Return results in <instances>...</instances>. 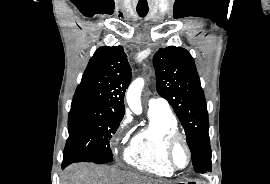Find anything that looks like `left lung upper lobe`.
I'll return each instance as SVG.
<instances>
[{
    "instance_id": "5c2ea615",
    "label": "left lung upper lobe",
    "mask_w": 270,
    "mask_h": 184,
    "mask_svg": "<svg viewBox=\"0 0 270 184\" xmlns=\"http://www.w3.org/2000/svg\"><path fill=\"white\" fill-rule=\"evenodd\" d=\"M153 64L157 92L170 103L182 123L195 171H211L208 112L192 56L181 47L169 46L157 51Z\"/></svg>"
}]
</instances>
